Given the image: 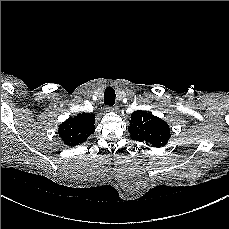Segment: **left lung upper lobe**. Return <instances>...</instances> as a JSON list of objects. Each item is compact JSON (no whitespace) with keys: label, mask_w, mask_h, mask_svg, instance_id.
I'll return each instance as SVG.
<instances>
[{"label":"left lung upper lobe","mask_w":229,"mask_h":229,"mask_svg":"<svg viewBox=\"0 0 229 229\" xmlns=\"http://www.w3.org/2000/svg\"><path fill=\"white\" fill-rule=\"evenodd\" d=\"M128 131L131 139L157 148L165 146L171 136L165 121L144 111L132 113Z\"/></svg>","instance_id":"5c2ea615"}]
</instances>
